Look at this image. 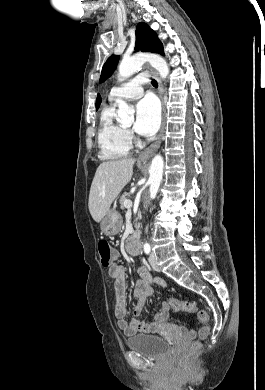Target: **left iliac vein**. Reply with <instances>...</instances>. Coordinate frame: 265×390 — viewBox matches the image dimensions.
Returning a JSON list of instances; mask_svg holds the SVG:
<instances>
[{
    "label": "left iliac vein",
    "mask_w": 265,
    "mask_h": 390,
    "mask_svg": "<svg viewBox=\"0 0 265 390\" xmlns=\"http://www.w3.org/2000/svg\"><path fill=\"white\" fill-rule=\"evenodd\" d=\"M149 263H150L151 267L153 268V270H155V271L158 270L156 258H155V255L153 253H151L149 256Z\"/></svg>",
    "instance_id": "left-iliac-vein-1"
}]
</instances>
